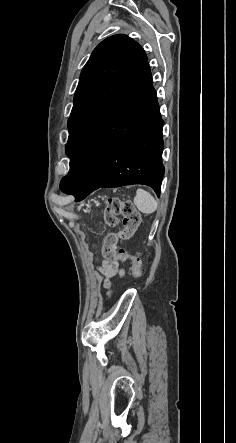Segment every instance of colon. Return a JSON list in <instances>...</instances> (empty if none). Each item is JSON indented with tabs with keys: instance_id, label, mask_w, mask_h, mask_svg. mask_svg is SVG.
I'll return each instance as SVG.
<instances>
[{
	"instance_id": "colon-1",
	"label": "colon",
	"mask_w": 236,
	"mask_h": 443,
	"mask_svg": "<svg viewBox=\"0 0 236 443\" xmlns=\"http://www.w3.org/2000/svg\"><path fill=\"white\" fill-rule=\"evenodd\" d=\"M120 215L123 216V229L105 236L102 254L106 261H130L133 277L139 278L142 275L140 257L128 253L124 248L119 246V243L120 241L129 239L137 230L140 224V214L131 201L121 200L115 197L110 198L105 210L106 224L110 228L116 227Z\"/></svg>"
}]
</instances>
